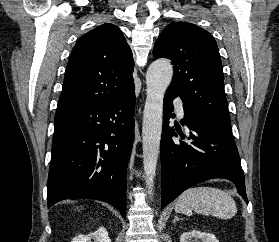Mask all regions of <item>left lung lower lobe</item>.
Wrapping results in <instances>:
<instances>
[{"instance_id": "1", "label": "left lung lower lobe", "mask_w": 279, "mask_h": 242, "mask_svg": "<svg viewBox=\"0 0 279 242\" xmlns=\"http://www.w3.org/2000/svg\"><path fill=\"white\" fill-rule=\"evenodd\" d=\"M175 97L167 90L163 105L160 144L162 207L190 186L212 178L234 182L238 193L248 203L241 161L231 134L184 112L182 124L190 131L185 134L176 128L182 139L173 138L177 134L169 126V118Z\"/></svg>"}]
</instances>
